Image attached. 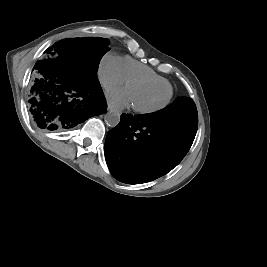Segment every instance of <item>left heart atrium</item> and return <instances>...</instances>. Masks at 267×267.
<instances>
[{"mask_svg": "<svg viewBox=\"0 0 267 267\" xmlns=\"http://www.w3.org/2000/svg\"><path fill=\"white\" fill-rule=\"evenodd\" d=\"M109 102L118 108L132 104L131 96L127 88H112L106 92Z\"/></svg>", "mask_w": 267, "mask_h": 267, "instance_id": "left-heart-atrium-1", "label": "left heart atrium"}]
</instances>
